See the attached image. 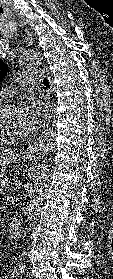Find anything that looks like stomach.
<instances>
[{
	"label": "stomach",
	"instance_id": "0dacf381",
	"mask_svg": "<svg viewBox=\"0 0 113 279\" xmlns=\"http://www.w3.org/2000/svg\"><path fill=\"white\" fill-rule=\"evenodd\" d=\"M25 160H31V156H26V157H25ZM4 174H5V168L2 167V168H0V181H1L2 178L4 177Z\"/></svg>",
	"mask_w": 113,
	"mask_h": 279
}]
</instances>
